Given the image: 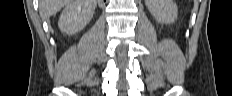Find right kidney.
<instances>
[{"instance_id": "ca27d5eb", "label": "right kidney", "mask_w": 232, "mask_h": 96, "mask_svg": "<svg viewBox=\"0 0 232 96\" xmlns=\"http://www.w3.org/2000/svg\"><path fill=\"white\" fill-rule=\"evenodd\" d=\"M96 0H71L60 15L59 29L66 34L81 31L92 19Z\"/></svg>"}]
</instances>
